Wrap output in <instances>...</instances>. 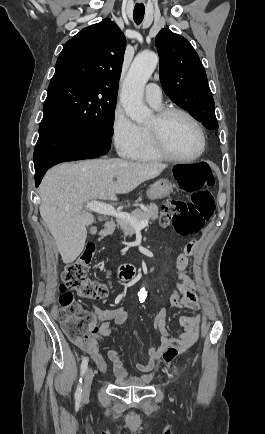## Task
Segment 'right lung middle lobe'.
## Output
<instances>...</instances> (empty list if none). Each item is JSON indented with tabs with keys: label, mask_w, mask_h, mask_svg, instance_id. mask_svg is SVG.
Segmentation results:
<instances>
[{
	"label": "right lung middle lobe",
	"mask_w": 265,
	"mask_h": 434,
	"mask_svg": "<svg viewBox=\"0 0 265 434\" xmlns=\"http://www.w3.org/2000/svg\"><path fill=\"white\" fill-rule=\"evenodd\" d=\"M118 89L84 77L51 80L42 122L54 121L89 135L111 137Z\"/></svg>",
	"instance_id": "1"
}]
</instances>
